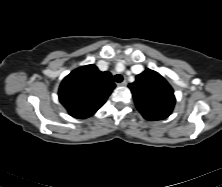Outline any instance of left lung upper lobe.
<instances>
[{
  "instance_id": "left-lung-upper-lobe-1",
  "label": "left lung upper lobe",
  "mask_w": 222,
  "mask_h": 187,
  "mask_svg": "<svg viewBox=\"0 0 222 187\" xmlns=\"http://www.w3.org/2000/svg\"><path fill=\"white\" fill-rule=\"evenodd\" d=\"M136 107L142 115L168 117L175 105L172 87L156 71L146 69L129 84Z\"/></svg>"
}]
</instances>
